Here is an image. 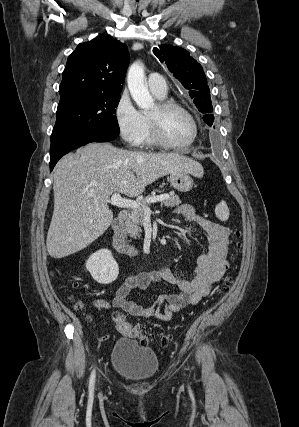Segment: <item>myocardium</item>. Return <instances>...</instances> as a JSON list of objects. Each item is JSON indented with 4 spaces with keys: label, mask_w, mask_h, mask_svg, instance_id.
<instances>
[{
    "label": "myocardium",
    "mask_w": 299,
    "mask_h": 427,
    "mask_svg": "<svg viewBox=\"0 0 299 427\" xmlns=\"http://www.w3.org/2000/svg\"><path fill=\"white\" fill-rule=\"evenodd\" d=\"M156 106L158 110V115L152 116L148 114V121H149L150 130H151V134L154 141L163 147L172 148V149H183L194 144V142L198 137V132H199L198 123L194 115L185 106L171 100L159 101L156 104ZM170 109H177L183 112L190 119L192 123L193 132H192L191 139L184 144L174 143L169 139H167L166 136L163 134L161 123H160V115Z\"/></svg>",
    "instance_id": "f54148a6"
}]
</instances>
